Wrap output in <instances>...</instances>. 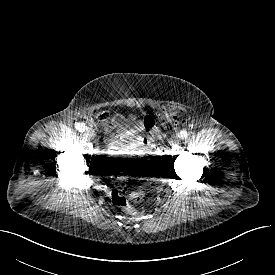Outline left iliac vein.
Listing matches in <instances>:
<instances>
[{
    "mask_svg": "<svg viewBox=\"0 0 275 275\" xmlns=\"http://www.w3.org/2000/svg\"><path fill=\"white\" fill-rule=\"evenodd\" d=\"M171 142L173 144H177L179 142V137L177 135L172 136Z\"/></svg>",
    "mask_w": 275,
    "mask_h": 275,
    "instance_id": "left-iliac-vein-1",
    "label": "left iliac vein"
}]
</instances>
